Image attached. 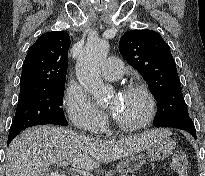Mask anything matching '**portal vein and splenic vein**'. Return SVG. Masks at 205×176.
Returning <instances> with one entry per match:
<instances>
[{
	"mask_svg": "<svg viewBox=\"0 0 205 176\" xmlns=\"http://www.w3.org/2000/svg\"><path fill=\"white\" fill-rule=\"evenodd\" d=\"M60 165L62 167H67L68 166V162L67 161H62V162H60Z\"/></svg>",
	"mask_w": 205,
	"mask_h": 176,
	"instance_id": "portal-vein-and-splenic-vein-1",
	"label": "portal vein and splenic vein"
}]
</instances>
